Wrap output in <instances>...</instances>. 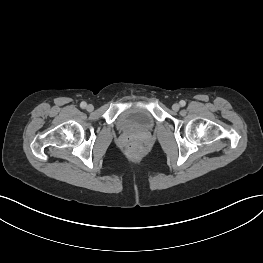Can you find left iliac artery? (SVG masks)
Segmentation results:
<instances>
[{"instance_id":"1","label":"left iliac artery","mask_w":263,"mask_h":263,"mask_svg":"<svg viewBox=\"0 0 263 263\" xmlns=\"http://www.w3.org/2000/svg\"><path fill=\"white\" fill-rule=\"evenodd\" d=\"M180 105H181L182 107H184V106L186 105V102H185L184 100H181V101H180Z\"/></svg>"}]
</instances>
